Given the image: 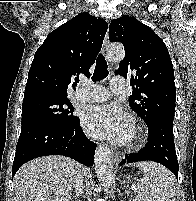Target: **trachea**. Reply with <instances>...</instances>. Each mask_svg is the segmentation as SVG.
Listing matches in <instances>:
<instances>
[{
	"label": "trachea",
	"instance_id": "trachea-1",
	"mask_svg": "<svg viewBox=\"0 0 196 201\" xmlns=\"http://www.w3.org/2000/svg\"><path fill=\"white\" fill-rule=\"evenodd\" d=\"M108 76V66L105 57L99 54L96 67L92 76L93 81H100Z\"/></svg>",
	"mask_w": 196,
	"mask_h": 201
}]
</instances>
